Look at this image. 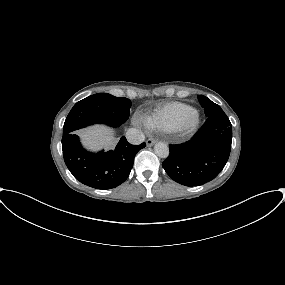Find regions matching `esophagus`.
<instances>
[{"instance_id":"obj_1","label":"esophagus","mask_w":285,"mask_h":285,"mask_svg":"<svg viewBox=\"0 0 285 285\" xmlns=\"http://www.w3.org/2000/svg\"><path fill=\"white\" fill-rule=\"evenodd\" d=\"M156 142V140L154 138H149L147 141H146V145L147 146H152L154 143Z\"/></svg>"}]
</instances>
